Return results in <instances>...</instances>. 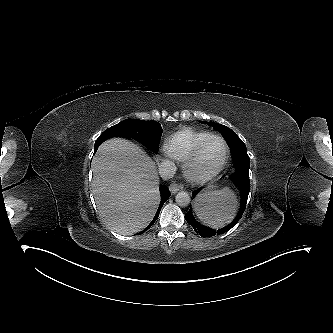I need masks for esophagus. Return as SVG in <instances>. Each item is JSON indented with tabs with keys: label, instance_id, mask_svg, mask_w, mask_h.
Instances as JSON below:
<instances>
[{
	"label": "esophagus",
	"instance_id": "34e87169",
	"mask_svg": "<svg viewBox=\"0 0 333 333\" xmlns=\"http://www.w3.org/2000/svg\"><path fill=\"white\" fill-rule=\"evenodd\" d=\"M181 188H182L181 185L178 183H175V182L170 184V186H169V189L172 194L177 193L179 191V189H181Z\"/></svg>",
	"mask_w": 333,
	"mask_h": 333
}]
</instances>
